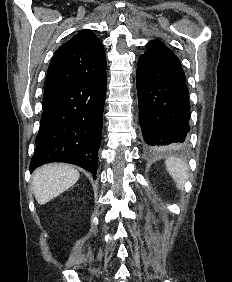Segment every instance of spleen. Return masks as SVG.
I'll list each match as a JSON object with an SVG mask.
<instances>
[{"label": "spleen", "instance_id": "1", "mask_svg": "<svg viewBox=\"0 0 232 282\" xmlns=\"http://www.w3.org/2000/svg\"><path fill=\"white\" fill-rule=\"evenodd\" d=\"M165 165L177 187L182 188L187 179V165L181 159L175 157L168 158Z\"/></svg>", "mask_w": 232, "mask_h": 282}]
</instances>
